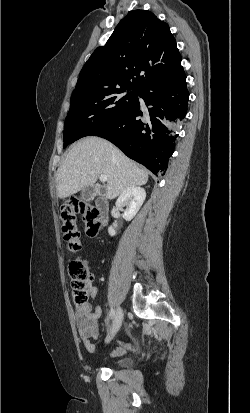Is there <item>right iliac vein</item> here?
<instances>
[{
	"mask_svg": "<svg viewBox=\"0 0 250 413\" xmlns=\"http://www.w3.org/2000/svg\"><path fill=\"white\" fill-rule=\"evenodd\" d=\"M122 321H123V310L120 307H118L117 310H116L115 316H114L111 333L106 338L107 343L110 342L111 339L116 335L119 328L121 327Z\"/></svg>",
	"mask_w": 250,
	"mask_h": 413,
	"instance_id": "right-iliac-vein-1",
	"label": "right iliac vein"
}]
</instances>
